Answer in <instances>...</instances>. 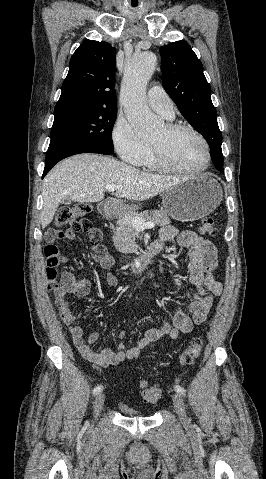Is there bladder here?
Segmentation results:
<instances>
[{"label":"bladder","instance_id":"bladder-1","mask_svg":"<svg viewBox=\"0 0 266 479\" xmlns=\"http://www.w3.org/2000/svg\"><path fill=\"white\" fill-rule=\"evenodd\" d=\"M119 409L126 416H140L141 415L139 411H136V410L130 408L129 406H127L126 404H123V403H121L119 405Z\"/></svg>","mask_w":266,"mask_h":479}]
</instances>
